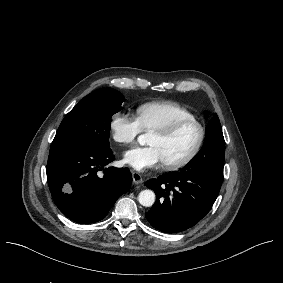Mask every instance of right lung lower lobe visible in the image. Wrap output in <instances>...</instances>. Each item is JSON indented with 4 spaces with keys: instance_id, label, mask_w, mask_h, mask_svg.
<instances>
[{
    "instance_id": "98d812e1",
    "label": "right lung lower lobe",
    "mask_w": 283,
    "mask_h": 283,
    "mask_svg": "<svg viewBox=\"0 0 283 283\" xmlns=\"http://www.w3.org/2000/svg\"><path fill=\"white\" fill-rule=\"evenodd\" d=\"M114 159L111 149L50 148L48 185L55 204L65 216L78 223H93L106 217L132 183L128 168H105Z\"/></svg>"
}]
</instances>
